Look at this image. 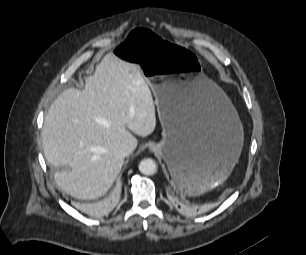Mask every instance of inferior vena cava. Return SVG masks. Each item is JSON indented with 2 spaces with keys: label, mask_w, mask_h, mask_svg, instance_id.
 <instances>
[{
  "label": "inferior vena cava",
  "mask_w": 306,
  "mask_h": 255,
  "mask_svg": "<svg viewBox=\"0 0 306 255\" xmlns=\"http://www.w3.org/2000/svg\"><path fill=\"white\" fill-rule=\"evenodd\" d=\"M135 147L130 145V144H124L120 147L119 149V154L122 157H126L129 156L133 151H134Z\"/></svg>",
  "instance_id": "inferior-vena-cava-1"
}]
</instances>
